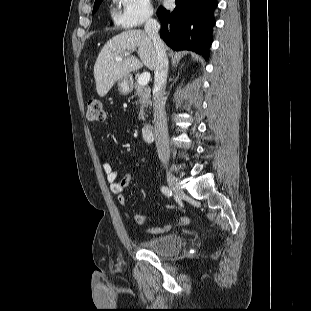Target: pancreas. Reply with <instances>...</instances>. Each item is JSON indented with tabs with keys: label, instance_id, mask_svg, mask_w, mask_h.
<instances>
[{
	"label": "pancreas",
	"instance_id": "pancreas-1",
	"mask_svg": "<svg viewBox=\"0 0 311 311\" xmlns=\"http://www.w3.org/2000/svg\"><path fill=\"white\" fill-rule=\"evenodd\" d=\"M132 89L135 90L134 96L137 97V104L140 106L138 119L144 121L145 109L150 108L152 105L151 90L149 87L140 85L138 82L132 84Z\"/></svg>",
	"mask_w": 311,
	"mask_h": 311
}]
</instances>
